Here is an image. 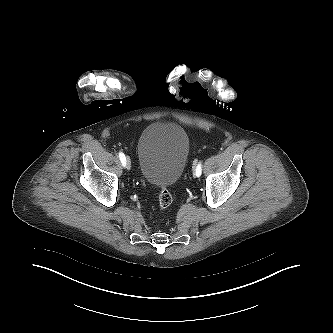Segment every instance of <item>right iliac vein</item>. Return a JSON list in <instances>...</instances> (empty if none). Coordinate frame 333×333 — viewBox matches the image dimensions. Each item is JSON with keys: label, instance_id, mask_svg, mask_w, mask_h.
<instances>
[{"label": "right iliac vein", "instance_id": "1", "mask_svg": "<svg viewBox=\"0 0 333 333\" xmlns=\"http://www.w3.org/2000/svg\"><path fill=\"white\" fill-rule=\"evenodd\" d=\"M125 166H126V168H127L128 170L131 169V160H130L129 157H126V164H125Z\"/></svg>", "mask_w": 333, "mask_h": 333}]
</instances>
